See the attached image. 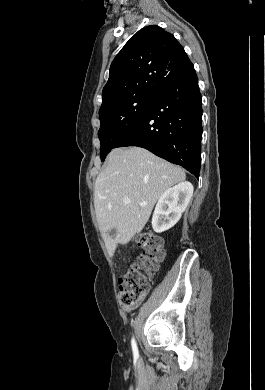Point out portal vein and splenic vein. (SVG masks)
Wrapping results in <instances>:
<instances>
[{
  "label": "portal vein and splenic vein",
  "instance_id": "portal-vein-and-splenic-vein-1",
  "mask_svg": "<svg viewBox=\"0 0 265 390\" xmlns=\"http://www.w3.org/2000/svg\"><path fill=\"white\" fill-rule=\"evenodd\" d=\"M123 202H124L125 204H129V203L131 202V200H130L128 197H125V198H123ZM140 205H141V206H144L145 203H140Z\"/></svg>",
  "mask_w": 265,
  "mask_h": 390
}]
</instances>
